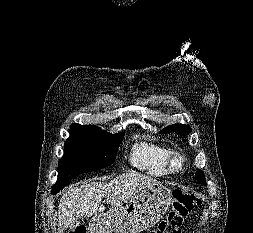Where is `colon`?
<instances>
[{"label":"colon","mask_w":253,"mask_h":233,"mask_svg":"<svg viewBox=\"0 0 253 233\" xmlns=\"http://www.w3.org/2000/svg\"><path fill=\"white\" fill-rule=\"evenodd\" d=\"M202 204L200 197L180 189L173 191V200L166 217L150 233H180V229L190 213ZM69 233H86L84 225L77 224Z\"/></svg>","instance_id":"colon-1"}]
</instances>
